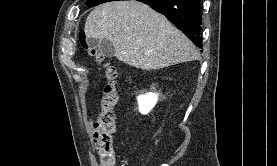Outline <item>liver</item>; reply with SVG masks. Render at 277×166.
Returning <instances> with one entry per match:
<instances>
[{"instance_id": "1", "label": "liver", "mask_w": 277, "mask_h": 166, "mask_svg": "<svg viewBox=\"0 0 277 166\" xmlns=\"http://www.w3.org/2000/svg\"><path fill=\"white\" fill-rule=\"evenodd\" d=\"M87 39H107L116 58L143 70L199 59L193 43L164 16L137 1H113L94 8L85 23Z\"/></svg>"}]
</instances>
